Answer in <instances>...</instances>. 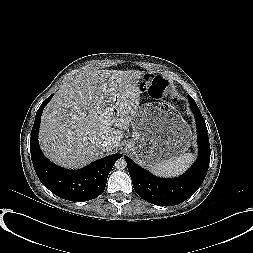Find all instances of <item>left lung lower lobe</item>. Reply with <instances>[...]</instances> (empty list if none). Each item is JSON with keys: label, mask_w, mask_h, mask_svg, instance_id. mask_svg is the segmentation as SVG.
Segmentation results:
<instances>
[{"label": "left lung lower lobe", "mask_w": 253, "mask_h": 253, "mask_svg": "<svg viewBox=\"0 0 253 253\" xmlns=\"http://www.w3.org/2000/svg\"><path fill=\"white\" fill-rule=\"evenodd\" d=\"M197 127L199 154L196 162L182 176L174 179L158 178L124 157L136 193L149 203L173 206L188 199L202 184L210 162L208 131L202 114L195 101L188 96Z\"/></svg>", "instance_id": "1"}]
</instances>
